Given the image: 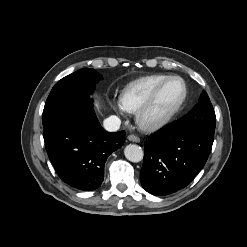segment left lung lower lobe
I'll use <instances>...</instances> for the list:
<instances>
[{"label":"left lung lower lobe","mask_w":247,"mask_h":247,"mask_svg":"<svg viewBox=\"0 0 247 247\" xmlns=\"http://www.w3.org/2000/svg\"><path fill=\"white\" fill-rule=\"evenodd\" d=\"M214 133L190 131L168 124L145 143L140 172L142 187L153 195H167L187 186L204 167Z\"/></svg>","instance_id":"obj_1"}]
</instances>
